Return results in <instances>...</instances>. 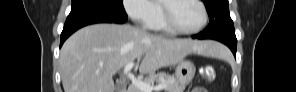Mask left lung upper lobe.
<instances>
[{
	"mask_svg": "<svg viewBox=\"0 0 296 92\" xmlns=\"http://www.w3.org/2000/svg\"><path fill=\"white\" fill-rule=\"evenodd\" d=\"M210 17L208 27L202 32L208 38L235 36L233 21L229 13L228 0H202Z\"/></svg>",
	"mask_w": 296,
	"mask_h": 92,
	"instance_id": "obj_1",
	"label": "left lung upper lobe"
}]
</instances>
